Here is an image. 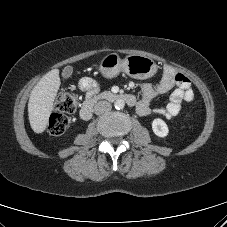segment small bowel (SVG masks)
<instances>
[{
    "instance_id": "obj_1",
    "label": "small bowel",
    "mask_w": 227,
    "mask_h": 227,
    "mask_svg": "<svg viewBox=\"0 0 227 227\" xmlns=\"http://www.w3.org/2000/svg\"><path fill=\"white\" fill-rule=\"evenodd\" d=\"M79 88L90 94L97 88L98 84L91 78H84L79 83ZM174 88V89H173ZM173 89L169 102L162 107L154 110L157 114L171 119L177 116L184 103H190L194 99V93L191 89L189 79L183 74L176 73L173 68L166 66L163 70L162 78L157 86L143 84L141 86L142 99L136 105V111L140 116H147L152 113L151 102L158 95L165 94Z\"/></svg>"
}]
</instances>
